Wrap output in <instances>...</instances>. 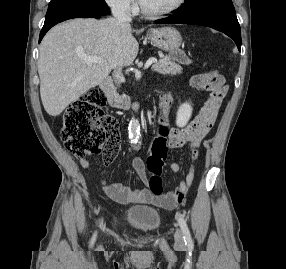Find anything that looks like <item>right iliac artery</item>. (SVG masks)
<instances>
[{"label":"right iliac artery","instance_id":"82829eb1","mask_svg":"<svg viewBox=\"0 0 286 269\" xmlns=\"http://www.w3.org/2000/svg\"><path fill=\"white\" fill-rule=\"evenodd\" d=\"M95 238H96V234H94L93 237H92L91 245H93V243H94V241H95Z\"/></svg>","mask_w":286,"mask_h":269}]
</instances>
